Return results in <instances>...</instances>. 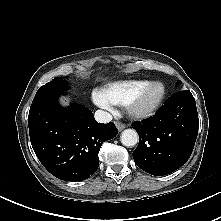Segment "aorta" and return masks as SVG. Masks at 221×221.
Instances as JSON below:
<instances>
[{
  "label": "aorta",
  "mask_w": 221,
  "mask_h": 221,
  "mask_svg": "<svg viewBox=\"0 0 221 221\" xmlns=\"http://www.w3.org/2000/svg\"><path fill=\"white\" fill-rule=\"evenodd\" d=\"M138 142V134L134 129H125L121 134V143L126 146H134Z\"/></svg>",
  "instance_id": "aorta-1"
}]
</instances>
